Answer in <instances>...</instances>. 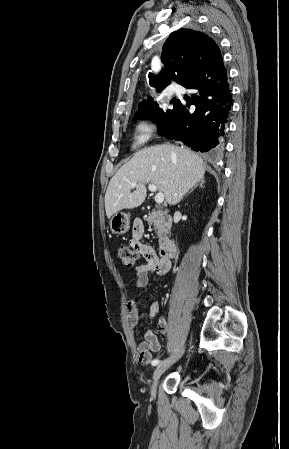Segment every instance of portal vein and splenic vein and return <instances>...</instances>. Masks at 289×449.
I'll list each match as a JSON object with an SVG mask.
<instances>
[{
    "label": "portal vein and splenic vein",
    "mask_w": 289,
    "mask_h": 449,
    "mask_svg": "<svg viewBox=\"0 0 289 449\" xmlns=\"http://www.w3.org/2000/svg\"><path fill=\"white\" fill-rule=\"evenodd\" d=\"M137 186V182H132L131 183V188H135ZM148 189L151 191V192H155L156 190H157V186L156 185H154V184H149L148 185ZM155 202L157 203V204H161V203H163V201H164V194L162 193V192H159V193H157L156 195H155Z\"/></svg>",
    "instance_id": "1"
}]
</instances>
